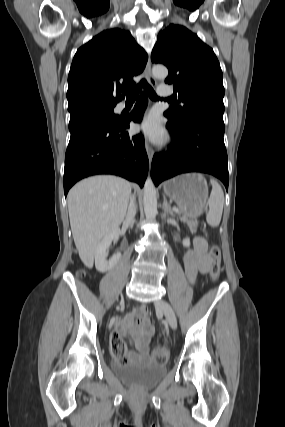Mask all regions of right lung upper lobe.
I'll list each match as a JSON object with an SVG mask.
<instances>
[{
	"label": "right lung upper lobe",
	"mask_w": 285,
	"mask_h": 427,
	"mask_svg": "<svg viewBox=\"0 0 285 427\" xmlns=\"http://www.w3.org/2000/svg\"><path fill=\"white\" fill-rule=\"evenodd\" d=\"M147 59L129 31L114 28L95 36L73 58L67 91L70 114L122 100L120 88L134 86L132 78L144 70Z\"/></svg>",
	"instance_id": "right-lung-upper-lobe-1"
}]
</instances>
